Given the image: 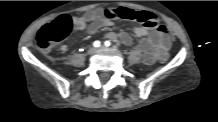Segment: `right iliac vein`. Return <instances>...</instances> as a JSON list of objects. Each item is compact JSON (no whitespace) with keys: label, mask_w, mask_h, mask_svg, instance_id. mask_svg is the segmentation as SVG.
Segmentation results:
<instances>
[{"label":"right iliac vein","mask_w":218,"mask_h":122,"mask_svg":"<svg viewBox=\"0 0 218 122\" xmlns=\"http://www.w3.org/2000/svg\"><path fill=\"white\" fill-rule=\"evenodd\" d=\"M96 52V49L95 48H90L89 50H88V55H93L94 53Z\"/></svg>","instance_id":"right-iliac-vein-1"}]
</instances>
